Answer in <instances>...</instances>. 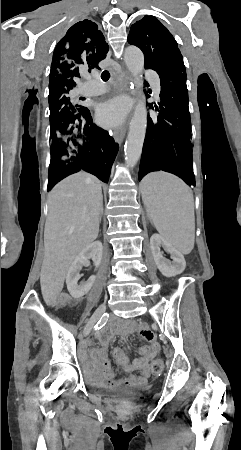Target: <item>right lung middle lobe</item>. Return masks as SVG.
Masks as SVG:
<instances>
[{
	"label": "right lung middle lobe",
	"mask_w": 241,
	"mask_h": 450,
	"mask_svg": "<svg viewBox=\"0 0 241 450\" xmlns=\"http://www.w3.org/2000/svg\"><path fill=\"white\" fill-rule=\"evenodd\" d=\"M50 127H51V152L72 151L74 143L70 137L59 128L60 123L64 121H75L82 118L89 110L70 97L50 100Z\"/></svg>",
	"instance_id": "1"
}]
</instances>
